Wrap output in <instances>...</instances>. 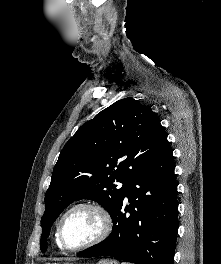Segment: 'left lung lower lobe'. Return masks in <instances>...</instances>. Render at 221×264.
Instances as JSON below:
<instances>
[{
  "instance_id": "left-lung-lower-lobe-1",
  "label": "left lung lower lobe",
  "mask_w": 221,
  "mask_h": 264,
  "mask_svg": "<svg viewBox=\"0 0 221 264\" xmlns=\"http://www.w3.org/2000/svg\"><path fill=\"white\" fill-rule=\"evenodd\" d=\"M127 198L130 205H124ZM177 183L168 141L154 161L127 186L102 242L78 257L111 256L136 264H173L178 231Z\"/></svg>"
}]
</instances>
